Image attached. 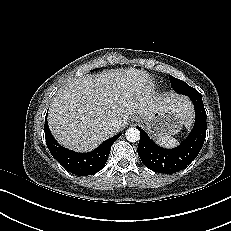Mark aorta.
<instances>
[{
    "label": "aorta",
    "mask_w": 231,
    "mask_h": 231,
    "mask_svg": "<svg viewBox=\"0 0 231 231\" xmlns=\"http://www.w3.org/2000/svg\"><path fill=\"white\" fill-rule=\"evenodd\" d=\"M125 137L129 142H136L140 139V132L137 128L131 127L127 129Z\"/></svg>",
    "instance_id": "aorta-1"
}]
</instances>
